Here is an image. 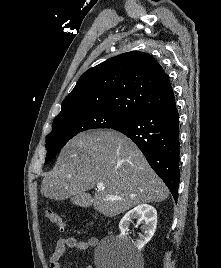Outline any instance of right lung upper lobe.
<instances>
[{
	"label": "right lung upper lobe",
	"instance_id": "obj_1",
	"mask_svg": "<svg viewBox=\"0 0 221 268\" xmlns=\"http://www.w3.org/2000/svg\"><path fill=\"white\" fill-rule=\"evenodd\" d=\"M173 102L160 64L147 53L133 51L87 70L63 100L60 114L106 109L132 119Z\"/></svg>",
	"mask_w": 221,
	"mask_h": 268
}]
</instances>
